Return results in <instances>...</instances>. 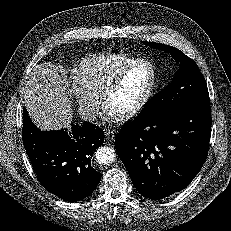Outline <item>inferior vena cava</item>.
I'll return each instance as SVG.
<instances>
[{"label":"inferior vena cava","instance_id":"602c4592","mask_svg":"<svg viewBox=\"0 0 231 231\" xmlns=\"http://www.w3.org/2000/svg\"><path fill=\"white\" fill-rule=\"evenodd\" d=\"M80 118L84 121L93 122L96 119L95 111L91 107H81L79 108Z\"/></svg>","mask_w":231,"mask_h":231}]
</instances>
